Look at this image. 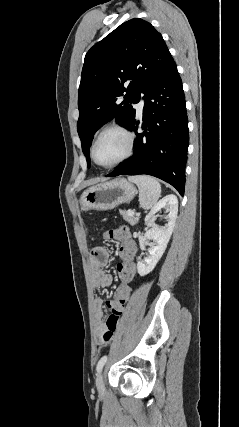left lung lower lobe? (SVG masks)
Here are the masks:
<instances>
[{
  "label": "left lung lower lobe",
  "mask_w": 239,
  "mask_h": 427,
  "mask_svg": "<svg viewBox=\"0 0 239 427\" xmlns=\"http://www.w3.org/2000/svg\"><path fill=\"white\" fill-rule=\"evenodd\" d=\"M142 133L135 118L128 129L137 139L134 154L107 175L147 174L171 184L184 195L189 143L181 78L175 62L144 93Z\"/></svg>",
  "instance_id": "obj_1"
}]
</instances>
